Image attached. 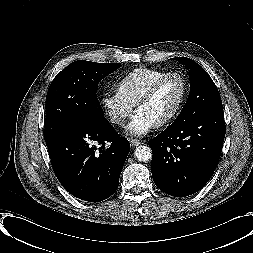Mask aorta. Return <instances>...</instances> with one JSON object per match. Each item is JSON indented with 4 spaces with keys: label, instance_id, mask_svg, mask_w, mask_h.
Here are the masks:
<instances>
[{
    "label": "aorta",
    "instance_id": "1",
    "mask_svg": "<svg viewBox=\"0 0 253 253\" xmlns=\"http://www.w3.org/2000/svg\"><path fill=\"white\" fill-rule=\"evenodd\" d=\"M134 156L139 160V161H148L152 158V150L150 147L141 145L138 146L135 151H134Z\"/></svg>",
    "mask_w": 253,
    "mask_h": 253
}]
</instances>
